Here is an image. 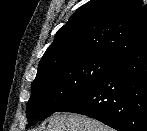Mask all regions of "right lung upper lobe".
Here are the masks:
<instances>
[{
    "label": "right lung upper lobe",
    "mask_w": 147,
    "mask_h": 131,
    "mask_svg": "<svg viewBox=\"0 0 147 131\" xmlns=\"http://www.w3.org/2000/svg\"><path fill=\"white\" fill-rule=\"evenodd\" d=\"M146 43L147 6L142 0H91L57 32L37 74L88 57L119 61Z\"/></svg>",
    "instance_id": "obj_1"
}]
</instances>
